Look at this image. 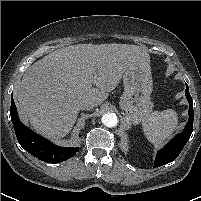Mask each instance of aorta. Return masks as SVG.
I'll use <instances>...</instances> for the list:
<instances>
[{
	"instance_id": "obj_1",
	"label": "aorta",
	"mask_w": 201,
	"mask_h": 201,
	"mask_svg": "<svg viewBox=\"0 0 201 201\" xmlns=\"http://www.w3.org/2000/svg\"><path fill=\"white\" fill-rule=\"evenodd\" d=\"M101 120L106 127H115L118 124V117L115 113H106Z\"/></svg>"
}]
</instances>
